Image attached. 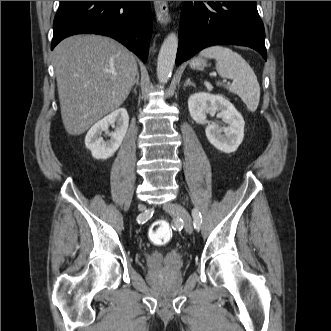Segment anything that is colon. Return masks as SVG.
I'll list each match as a JSON object with an SVG mask.
<instances>
[{
  "label": "colon",
  "instance_id": "colon-1",
  "mask_svg": "<svg viewBox=\"0 0 331 331\" xmlns=\"http://www.w3.org/2000/svg\"><path fill=\"white\" fill-rule=\"evenodd\" d=\"M149 239L155 245H164L172 238V228L166 221H155L149 228Z\"/></svg>",
  "mask_w": 331,
  "mask_h": 331
}]
</instances>
